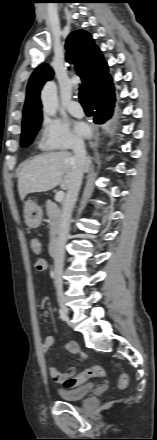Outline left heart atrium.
Here are the masks:
<instances>
[{
  "label": "left heart atrium",
  "mask_w": 157,
  "mask_h": 440,
  "mask_svg": "<svg viewBox=\"0 0 157 440\" xmlns=\"http://www.w3.org/2000/svg\"><path fill=\"white\" fill-rule=\"evenodd\" d=\"M75 133L83 138L89 137L91 134L90 126L83 121H76L73 124Z\"/></svg>",
  "instance_id": "39dd6f15"
}]
</instances>
